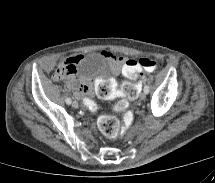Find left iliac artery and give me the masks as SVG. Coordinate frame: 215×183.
<instances>
[{
  "label": "left iliac artery",
  "instance_id": "44dca946",
  "mask_svg": "<svg viewBox=\"0 0 215 183\" xmlns=\"http://www.w3.org/2000/svg\"><path fill=\"white\" fill-rule=\"evenodd\" d=\"M144 92L147 94L149 93V86L148 85H145L144 86Z\"/></svg>",
  "mask_w": 215,
  "mask_h": 183
}]
</instances>
